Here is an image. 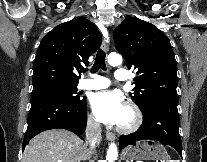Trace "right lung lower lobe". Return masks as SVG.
<instances>
[{
    "label": "right lung lower lobe",
    "instance_id": "obj_1",
    "mask_svg": "<svg viewBox=\"0 0 207 162\" xmlns=\"http://www.w3.org/2000/svg\"><path fill=\"white\" fill-rule=\"evenodd\" d=\"M86 122V100L72 103L57 95L33 97L22 149L34 136L50 129H67L80 135L86 128Z\"/></svg>",
    "mask_w": 207,
    "mask_h": 162
}]
</instances>
